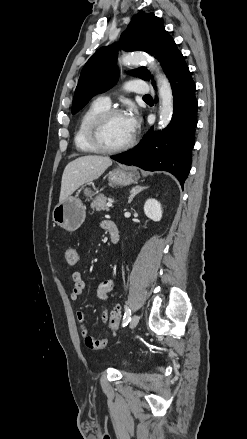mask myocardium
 <instances>
[{
    "instance_id": "obj_1",
    "label": "myocardium",
    "mask_w": 247,
    "mask_h": 439,
    "mask_svg": "<svg viewBox=\"0 0 247 439\" xmlns=\"http://www.w3.org/2000/svg\"><path fill=\"white\" fill-rule=\"evenodd\" d=\"M114 116H124V113L119 109H107L102 113L98 114L92 120L89 126V130H88L89 141L100 152H104V153L122 152L132 147L133 144L135 143V137L132 135L129 141H127L123 145L117 147H110L106 145L103 139V129L106 122Z\"/></svg>"
}]
</instances>
